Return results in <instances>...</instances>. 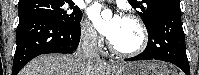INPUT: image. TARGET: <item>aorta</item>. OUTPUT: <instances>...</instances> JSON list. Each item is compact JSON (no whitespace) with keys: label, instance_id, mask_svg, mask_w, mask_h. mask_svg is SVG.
Here are the masks:
<instances>
[{"label":"aorta","instance_id":"obj_1","mask_svg":"<svg viewBox=\"0 0 199 75\" xmlns=\"http://www.w3.org/2000/svg\"><path fill=\"white\" fill-rule=\"evenodd\" d=\"M101 16L103 17V19L108 20L112 17V12L108 9H105L102 11Z\"/></svg>","mask_w":199,"mask_h":75}]
</instances>
